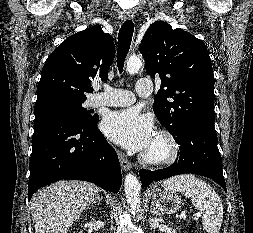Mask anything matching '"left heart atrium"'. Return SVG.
<instances>
[{
    "label": "left heart atrium",
    "instance_id": "1",
    "mask_svg": "<svg viewBox=\"0 0 253 233\" xmlns=\"http://www.w3.org/2000/svg\"><path fill=\"white\" fill-rule=\"evenodd\" d=\"M101 127L110 140L131 151L148 149L155 138L151 118L135 109L108 114Z\"/></svg>",
    "mask_w": 253,
    "mask_h": 233
}]
</instances>
